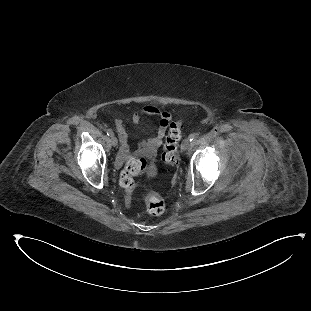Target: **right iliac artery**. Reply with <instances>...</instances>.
I'll list each match as a JSON object with an SVG mask.
<instances>
[{"mask_svg": "<svg viewBox=\"0 0 311 311\" xmlns=\"http://www.w3.org/2000/svg\"><path fill=\"white\" fill-rule=\"evenodd\" d=\"M106 132H107L108 136H113L114 135V133H113V131L111 129H107Z\"/></svg>", "mask_w": 311, "mask_h": 311, "instance_id": "1", "label": "right iliac artery"}]
</instances>
